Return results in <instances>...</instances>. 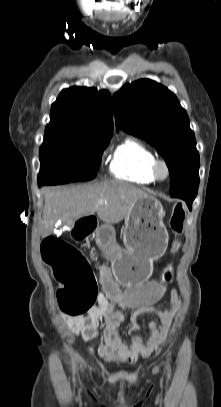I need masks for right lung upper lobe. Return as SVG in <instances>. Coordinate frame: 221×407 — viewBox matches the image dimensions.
I'll return each instance as SVG.
<instances>
[{
    "instance_id": "obj_1",
    "label": "right lung upper lobe",
    "mask_w": 221,
    "mask_h": 407,
    "mask_svg": "<svg viewBox=\"0 0 221 407\" xmlns=\"http://www.w3.org/2000/svg\"><path fill=\"white\" fill-rule=\"evenodd\" d=\"M113 122L111 96L95 88L71 87L63 90L51 106L45 136L109 142Z\"/></svg>"
}]
</instances>
